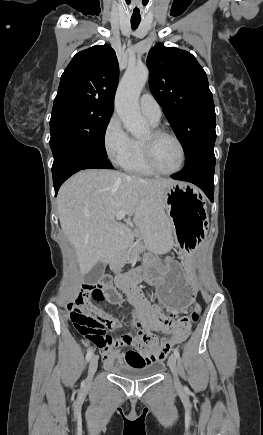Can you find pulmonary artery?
I'll return each mask as SVG.
<instances>
[{
    "label": "pulmonary artery",
    "mask_w": 263,
    "mask_h": 435,
    "mask_svg": "<svg viewBox=\"0 0 263 435\" xmlns=\"http://www.w3.org/2000/svg\"><path fill=\"white\" fill-rule=\"evenodd\" d=\"M139 105L141 112L150 122L157 124L160 121L162 115L161 107L151 94H143Z\"/></svg>",
    "instance_id": "1"
}]
</instances>
